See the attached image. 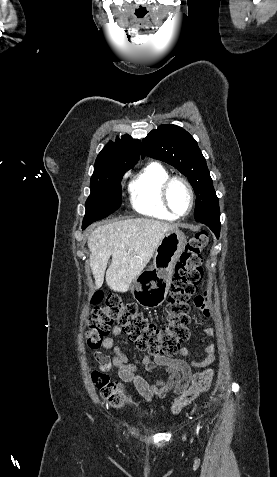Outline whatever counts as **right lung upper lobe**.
I'll list each match as a JSON object with an SVG mask.
<instances>
[{
  "label": "right lung upper lobe",
  "mask_w": 277,
  "mask_h": 477,
  "mask_svg": "<svg viewBox=\"0 0 277 477\" xmlns=\"http://www.w3.org/2000/svg\"><path fill=\"white\" fill-rule=\"evenodd\" d=\"M140 156V141L129 135L110 141L97 156L94 173L115 167L132 168ZM93 173V174H94Z\"/></svg>",
  "instance_id": "cb5924a9"
}]
</instances>
